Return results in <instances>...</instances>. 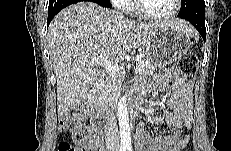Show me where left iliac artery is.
I'll return each instance as SVG.
<instances>
[{
  "label": "left iliac artery",
  "instance_id": "obj_1",
  "mask_svg": "<svg viewBox=\"0 0 231 151\" xmlns=\"http://www.w3.org/2000/svg\"><path fill=\"white\" fill-rule=\"evenodd\" d=\"M126 148H127L128 151H131V150H132V146H131V145H127Z\"/></svg>",
  "mask_w": 231,
  "mask_h": 151
}]
</instances>
